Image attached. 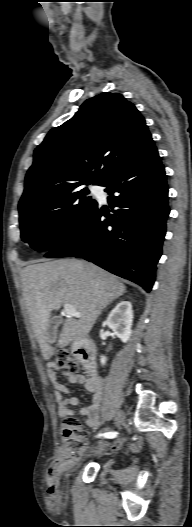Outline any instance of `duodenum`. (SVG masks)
Segmentation results:
<instances>
[{"instance_id":"obj_1","label":"duodenum","mask_w":192,"mask_h":527,"mask_svg":"<svg viewBox=\"0 0 192 527\" xmlns=\"http://www.w3.org/2000/svg\"><path fill=\"white\" fill-rule=\"evenodd\" d=\"M74 351L83 362L89 373L96 372L95 344L89 338H79L74 344Z\"/></svg>"}]
</instances>
